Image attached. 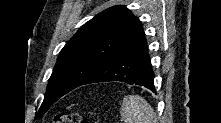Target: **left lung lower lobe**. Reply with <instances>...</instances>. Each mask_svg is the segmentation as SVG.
<instances>
[{
  "instance_id": "1",
  "label": "left lung lower lobe",
  "mask_w": 221,
  "mask_h": 123,
  "mask_svg": "<svg viewBox=\"0 0 221 123\" xmlns=\"http://www.w3.org/2000/svg\"><path fill=\"white\" fill-rule=\"evenodd\" d=\"M153 80L154 73L147 51V43L143 38L140 42L99 68L81 85L97 82L122 81L131 85L144 86L156 92Z\"/></svg>"
}]
</instances>
